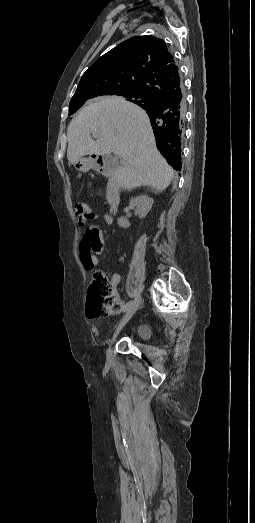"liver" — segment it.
<instances>
[{
  "mask_svg": "<svg viewBox=\"0 0 255 523\" xmlns=\"http://www.w3.org/2000/svg\"><path fill=\"white\" fill-rule=\"evenodd\" d=\"M67 140L70 164L89 154H118L123 166L117 168L116 178L125 190L151 186L164 192L174 178L171 166L156 148L145 110L123 98L107 96L87 102L70 122Z\"/></svg>",
  "mask_w": 255,
  "mask_h": 523,
  "instance_id": "obj_1",
  "label": "liver"
}]
</instances>
